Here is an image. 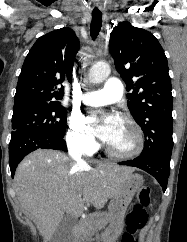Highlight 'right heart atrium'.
Returning a JSON list of instances; mask_svg holds the SVG:
<instances>
[{
    "label": "right heart atrium",
    "mask_w": 187,
    "mask_h": 242,
    "mask_svg": "<svg viewBox=\"0 0 187 242\" xmlns=\"http://www.w3.org/2000/svg\"><path fill=\"white\" fill-rule=\"evenodd\" d=\"M67 143L69 148L80 154H91L97 148L87 121L82 114H73L68 122Z\"/></svg>",
    "instance_id": "1"
}]
</instances>
